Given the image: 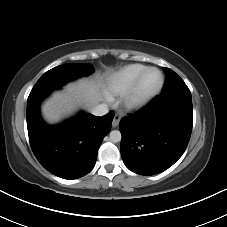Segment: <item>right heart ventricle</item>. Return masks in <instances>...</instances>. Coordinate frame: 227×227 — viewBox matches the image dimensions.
I'll list each match as a JSON object with an SVG mask.
<instances>
[{"instance_id": "e07e8e85", "label": "right heart ventricle", "mask_w": 227, "mask_h": 227, "mask_svg": "<svg viewBox=\"0 0 227 227\" xmlns=\"http://www.w3.org/2000/svg\"><path fill=\"white\" fill-rule=\"evenodd\" d=\"M145 68L143 64H129L110 74L106 80L107 94L110 97L125 95Z\"/></svg>"}]
</instances>
